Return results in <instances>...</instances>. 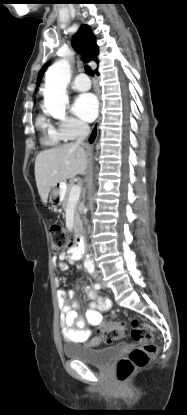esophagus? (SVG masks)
<instances>
[{
  "instance_id": "34e87169",
  "label": "esophagus",
  "mask_w": 187,
  "mask_h": 415,
  "mask_svg": "<svg viewBox=\"0 0 187 415\" xmlns=\"http://www.w3.org/2000/svg\"><path fill=\"white\" fill-rule=\"evenodd\" d=\"M100 120H101V116L99 115V117L96 120V122L94 123V125L91 129L90 135L88 137V143L89 144L95 142L97 137H98V127H99Z\"/></svg>"
}]
</instances>
